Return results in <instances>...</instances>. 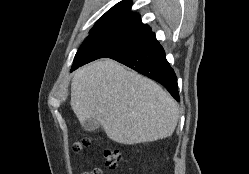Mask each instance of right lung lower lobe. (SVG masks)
<instances>
[{
  "label": "right lung lower lobe",
  "mask_w": 249,
  "mask_h": 174,
  "mask_svg": "<svg viewBox=\"0 0 249 174\" xmlns=\"http://www.w3.org/2000/svg\"><path fill=\"white\" fill-rule=\"evenodd\" d=\"M109 58L159 82L175 100H180L174 70L167 62L164 49L156 40L155 34L152 31L147 41L143 44Z\"/></svg>",
  "instance_id": "obj_1"
}]
</instances>
